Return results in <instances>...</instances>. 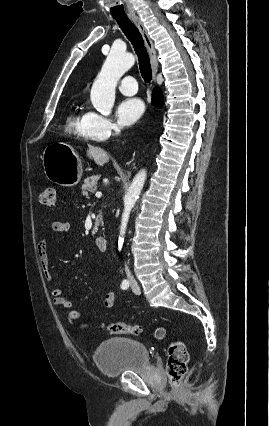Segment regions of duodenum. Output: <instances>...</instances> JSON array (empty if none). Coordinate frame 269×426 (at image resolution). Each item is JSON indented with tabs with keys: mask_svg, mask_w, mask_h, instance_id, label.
<instances>
[{
	"mask_svg": "<svg viewBox=\"0 0 269 426\" xmlns=\"http://www.w3.org/2000/svg\"><path fill=\"white\" fill-rule=\"evenodd\" d=\"M96 245L100 251H106L108 248V240L105 237L99 236L96 238Z\"/></svg>",
	"mask_w": 269,
	"mask_h": 426,
	"instance_id": "1",
	"label": "duodenum"
}]
</instances>
